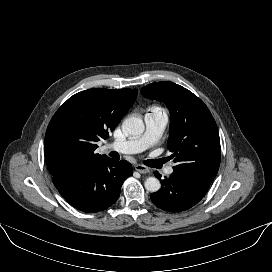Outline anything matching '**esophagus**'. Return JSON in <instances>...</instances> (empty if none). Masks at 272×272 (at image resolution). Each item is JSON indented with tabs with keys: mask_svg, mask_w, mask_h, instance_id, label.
<instances>
[{
	"mask_svg": "<svg viewBox=\"0 0 272 272\" xmlns=\"http://www.w3.org/2000/svg\"><path fill=\"white\" fill-rule=\"evenodd\" d=\"M135 170L142 174H146L149 172V168L141 164L135 165Z\"/></svg>",
	"mask_w": 272,
	"mask_h": 272,
	"instance_id": "obj_1",
	"label": "esophagus"
}]
</instances>
